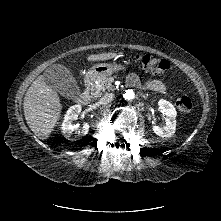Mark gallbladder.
<instances>
[{"label":"gallbladder","instance_id":"obj_1","mask_svg":"<svg viewBox=\"0 0 221 221\" xmlns=\"http://www.w3.org/2000/svg\"><path fill=\"white\" fill-rule=\"evenodd\" d=\"M47 84L64 97L72 98L76 93V82L72 73L64 66L55 64L45 73Z\"/></svg>","mask_w":221,"mask_h":221}]
</instances>
